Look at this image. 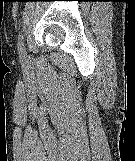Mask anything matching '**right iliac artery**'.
I'll return each instance as SVG.
<instances>
[{"instance_id": "1", "label": "right iliac artery", "mask_w": 135, "mask_h": 161, "mask_svg": "<svg viewBox=\"0 0 135 161\" xmlns=\"http://www.w3.org/2000/svg\"><path fill=\"white\" fill-rule=\"evenodd\" d=\"M18 51H19V54L22 58H26V51H25V48H24L23 36L22 35H19V38H18Z\"/></svg>"}]
</instances>
